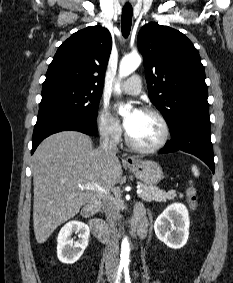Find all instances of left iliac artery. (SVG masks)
Wrapping results in <instances>:
<instances>
[{
	"instance_id": "44dca946",
	"label": "left iliac artery",
	"mask_w": 233,
	"mask_h": 283,
	"mask_svg": "<svg viewBox=\"0 0 233 283\" xmlns=\"http://www.w3.org/2000/svg\"><path fill=\"white\" fill-rule=\"evenodd\" d=\"M124 277H125V283H131L128 267L124 268Z\"/></svg>"
}]
</instances>
